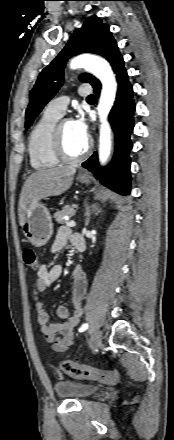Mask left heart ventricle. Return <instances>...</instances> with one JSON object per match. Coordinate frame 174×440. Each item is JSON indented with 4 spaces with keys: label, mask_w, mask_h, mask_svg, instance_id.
I'll list each match as a JSON object with an SVG mask.
<instances>
[{
    "label": "left heart ventricle",
    "mask_w": 174,
    "mask_h": 440,
    "mask_svg": "<svg viewBox=\"0 0 174 440\" xmlns=\"http://www.w3.org/2000/svg\"><path fill=\"white\" fill-rule=\"evenodd\" d=\"M62 134L65 150L69 155H79L85 149L87 141L80 139L75 134L70 121H64L62 123Z\"/></svg>",
    "instance_id": "b2bd125f"
}]
</instances>
